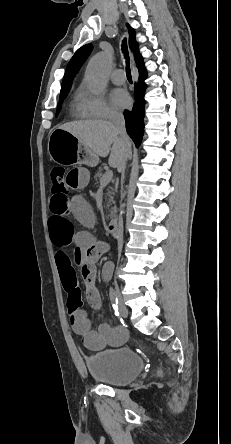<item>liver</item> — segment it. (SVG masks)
<instances>
[{"instance_id": "6515ba94", "label": "liver", "mask_w": 231, "mask_h": 444, "mask_svg": "<svg viewBox=\"0 0 231 444\" xmlns=\"http://www.w3.org/2000/svg\"><path fill=\"white\" fill-rule=\"evenodd\" d=\"M59 129L77 137L97 157H106L110 153L109 165L114 168L119 169L130 155L131 140L128 145L109 121H74L59 126Z\"/></svg>"}]
</instances>
